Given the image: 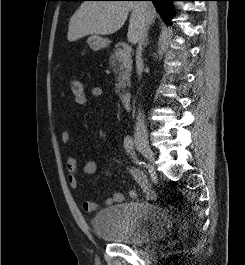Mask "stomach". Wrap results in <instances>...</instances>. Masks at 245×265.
<instances>
[{"instance_id":"obj_1","label":"stomach","mask_w":245,"mask_h":265,"mask_svg":"<svg viewBox=\"0 0 245 265\" xmlns=\"http://www.w3.org/2000/svg\"><path fill=\"white\" fill-rule=\"evenodd\" d=\"M89 47L93 51H99L108 47L110 41L99 36H90L87 40Z\"/></svg>"}]
</instances>
